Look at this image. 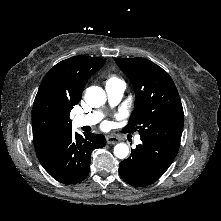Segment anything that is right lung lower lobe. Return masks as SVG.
I'll return each instance as SVG.
<instances>
[{
    "instance_id": "obj_1",
    "label": "right lung lower lobe",
    "mask_w": 221,
    "mask_h": 221,
    "mask_svg": "<svg viewBox=\"0 0 221 221\" xmlns=\"http://www.w3.org/2000/svg\"><path fill=\"white\" fill-rule=\"evenodd\" d=\"M105 144V137L100 134L84 133L82 136L69 133L36 154L42 166L55 180L75 184L87 177L92 151Z\"/></svg>"
}]
</instances>
